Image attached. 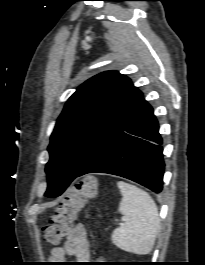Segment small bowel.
Instances as JSON below:
<instances>
[{
    "label": "small bowel",
    "mask_w": 205,
    "mask_h": 265,
    "mask_svg": "<svg viewBox=\"0 0 205 265\" xmlns=\"http://www.w3.org/2000/svg\"><path fill=\"white\" fill-rule=\"evenodd\" d=\"M67 256H73L78 263H86L90 260V242L85 226L77 224L67 234L63 246L54 247L50 252V260L61 262Z\"/></svg>",
    "instance_id": "1"
}]
</instances>
